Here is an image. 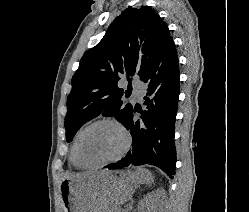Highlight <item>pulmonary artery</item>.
<instances>
[{"mask_svg":"<svg viewBox=\"0 0 249 212\" xmlns=\"http://www.w3.org/2000/svg\"><path fill=\"white\" fill-rule=\"evenodd\" d=\"M145 93V86L142 83L133 84V95L136 100H141Z\"/></svg>","mask_w":249,"mask_h":212,"instance_id":"1","label":"pulmonary artery"}]
</instances>
